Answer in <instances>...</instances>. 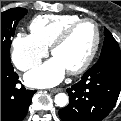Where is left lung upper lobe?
I'll list each match as a JSON object with an SVG mask.
<instances>
[{"label":"left lung upper lobe","mask_w":121,"mask_h":121,"mask_svg":"<svg viewBox=\"0 0 121 121\" xmlns=\"http://www.w3.org/2000/svg\"><path fill=\"white\" fill-rule=\"evenodd\" d=\"M104 35V45L101 51L100 58L95 65L108 61H121V51L117 41L107 29H105Z\"/></svg>","instance_id":"1"}]
</instances>
